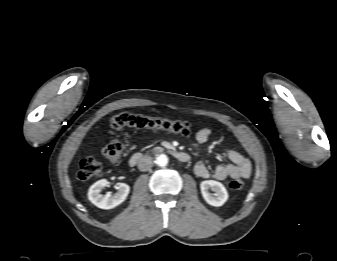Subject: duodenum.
Returning a JSON list of instances; mask_svg holds the SVG:
<instances>
[{
    "label": "duodenum",
    "instance_id": "duodenum-1",
    "mask_svg": "<svg viewBox=\"0 0 337 261\" xmlns=\"http://www.w3.org/2000/svg\"><path fill=\"white\" fill-rule=\"evenodd\" d=\"M171 154L180 162H188L190 160V156L183 152V151H179V150H170ZM143 156L141 153H135L133 154L130 159H129V165L131 167H135L141 160H142Z\"/></svg>",
    "mask_w": 337,
    "mask_h": 261
}]
</instances>
